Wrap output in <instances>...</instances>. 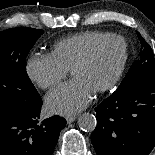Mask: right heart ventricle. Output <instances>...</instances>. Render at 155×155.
<instances>
[{"label":"right heart ventricle","instance_id":"e07e8e85","mask_svg":"<svg viewBox=\"0 0 155 155\" xmlns=\"http://www.w3.org/2000/svg\"><path fill=\"white\" fill-rule=\"evenodd\" d=\"M109 34L99 30H87L56 41L50 54L66 71L86 53L100 38Z\"/></svg>","mask_w":155,"mask_h":155}]
</instances>
